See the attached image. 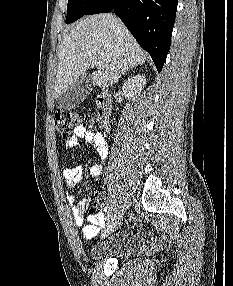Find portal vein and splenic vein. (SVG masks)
Returning <instances> with one entry per match:
<instances>
[{"label": "portal vein and splenic vein", "instance_id": "18ae733b", "mask_svg": "<svg viewBox=\"0 0 233 286\" xmlns=\"http://www.w3.org/2000/svg\"><path fill=\"white\" fill-rule=\"evenodd\" d=\"M96 65L100 68V69H103L104 68V62L103 61H98L96 63Z\"/></svg>", "mask_w": 233, "mask_h": 286}]
</instances>
